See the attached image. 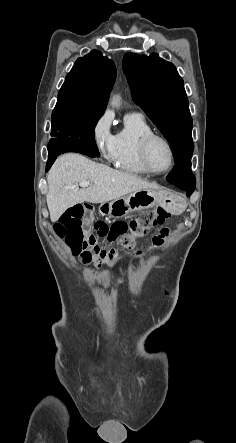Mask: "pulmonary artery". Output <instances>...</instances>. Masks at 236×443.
Returning a JSON list of instances; mask_svg holds the SVG:
<instances>
[{"instance_id": "pulmonary-artery-1", "label": "pulmonary artery", "mask_w": 236, "mask_h": 443, "mask_svg": "<svg viewBox=\"0 0 236 443\" xmlns=\"http://www.w3.org/2000/svg\"><path fill=\"white\" fill-rule=\"evenodd\" d=\"M135 114H139V115H142V113H141V112H135Z\"/></svg>"}]
</instances>
